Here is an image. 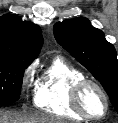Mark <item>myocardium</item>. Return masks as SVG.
<instances>
[{
    "mask_svg": "<svg viewBox=\"0 0 118 123\" xmlns=\"http://www.w3.org/2000/svg\"><path fill=\"white\" fill-rule=\"evenodd\" d=\"M89 87L95 88L101 94L104 100L105 109L101 115H92L84 107L83 95L86 89ZM71 104L73 109L87 120H100L108 114L110 109V101L105 89L96 81L86 78L76 82L73 85L71 90Z\"/></svg>",
    "mask_w": 118,
    "mask_h": 123,
    "instance_id": "f54148a6",
    "label": "myocardium"
}]
</instances>
